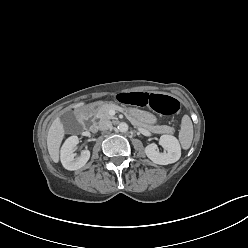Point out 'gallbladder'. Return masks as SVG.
I'll use <instances>...</instances> for the list:
<instances>
[{"label": "gallbladder", "mask_w": 248, "mask_h": 248, "mask_svg": "<svg viewBox=\"0 0 248 248\" xmlns=\"http://www.w3.org/2000/svg\"><path fill=\"white\" fill-rule=\"evenodd\" d=\"M66 120V129L69 131H76L81 128V125L76 121L72 112H67L64 115Z\"/></svg>", "instance_id": "obj_1"}]
</instances>
